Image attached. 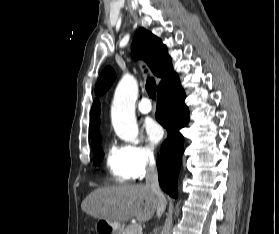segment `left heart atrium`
I'll return each mask as SVG.
<instances>
[{
  "label": "left heart atrium",
  "mask_w": 279,
  "mask_h": 234,
  "mask_svg": "<svg viewBox=\"0 0 279 234\" xmlns=\"http://www.w3.org/2000/svg\"><path fill=\"white\" fill-rule=\"evenodd\" d=\"M144 128L149 140L152 143H158L163 137L162 127L153 119H147L144 123Z\"/></svg>",
  "instance_id": "1"
}]
</instances>
